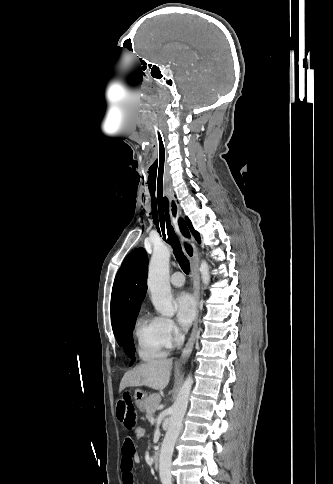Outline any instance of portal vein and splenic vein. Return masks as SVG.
Instances as JSON below:
<instances>
[{
	"label": "portal vein and splenic vein",
	"mask_w": 333,
	"mask_h": 484,
	"mask_svg": "<svg viewBox=\"0 0 333 484\" xmlns=\"http://www.w3.org/2000/svg\"><path fill=\"white\" fill-rule=\"evenodd\" d=\"M149 422H150L151 424H153V423L155 422V418H153V417H152V418H150V419H149Z\"/></svg>",
	"instance_id": "18ae733b"
}]
</instances>
